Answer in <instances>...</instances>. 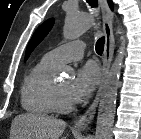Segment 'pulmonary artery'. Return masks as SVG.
I'll list each match as a JSON object with an SVG mask.
<instances>
[{
  "label": "pulmonary artery",
  "mask_w": 141,
  "mask_h": 139,
  "mask_svg": "<svg viewBox=\"0 0 141 139\" xmlns=\"http://www.w3.org/2000/svg\"><path fill=\"white\" fill-rule=\"evenodd\" d=\"M85 52V43L82 41H72L60 45L47 52L44 57L55 65H61L67 62L76 61L83 57Z\"/></svg>",
  "instance_id": "pulmonary-artery-1"
}]
</instances>
